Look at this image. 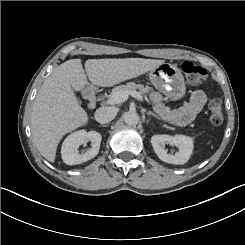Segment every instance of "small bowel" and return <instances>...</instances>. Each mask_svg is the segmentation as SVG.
Wrapping results in <instances>:
<instances>
[{
	"instance_id": "small-bowel-1",
	"label": "small bowel",
	"mask_w": 245,
	"mask_h": 245,
	"mask_svg": "<svg viewBox=\"0 0 245 245\" xmlns=\"http://www.w3.org/2000/svg\"><path fill=\"white\" fill-rule=\"evenodd\" d=\"M151 99L157 112L175 125H186L195 120L207 101L206 94L200 89L195 90L191 94L189 101L176 109L168 108L158 92L152 93Z\"/></svg>"
}]
</instances>
